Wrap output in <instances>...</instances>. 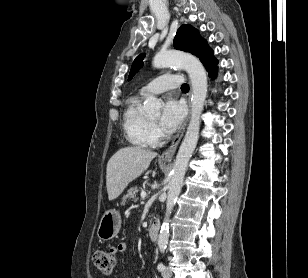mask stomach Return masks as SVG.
<instances>
[{"mask_svg":"<svg viewBox=\"0 0 308 278\" xmlns=\"http://www.w3.org/2000/svg\"><path fill=\"white\" fill-rule=\"evenodd\" d=\"M121 228V216L116 210H108L102 216L97 235L99 239L106 241L114 238Z\"/></svg>","mask_w":308,"mask_h":278,"instance_id":"stomach-1","label":"stomach"}]
</instances>
